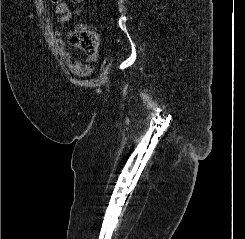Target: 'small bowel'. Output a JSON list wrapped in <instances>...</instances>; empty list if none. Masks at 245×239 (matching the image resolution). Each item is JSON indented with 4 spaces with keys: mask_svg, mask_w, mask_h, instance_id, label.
Listing matches in <instances>:
<instances>
[{
    "mask_svg": "<svg viewBox=\"0 0 245 239\" xmlns=\"http://www.w3.org/2000/svg\"><path fill=\"white\" fill-rule=\"evenodd\" d=\"M55 12L59 15L57 18V23L59 26H64L67 22H69L72 19V13L69 10L67 4L60 0L56 2ZM56 44L59 48L62 60L66 63L69 70L73 74L85 77L93 72L94 67L91 64L99 60L98 52L87 55L85 61L74 59L70 52H68L65 49V43L61 37L60 32H57Z\"/></svg>",
    "mask_w": 245,
    "mask_h": 239,
    "instance_id": "obj_1",
    "label": "small bowel"
}]
</instances>
